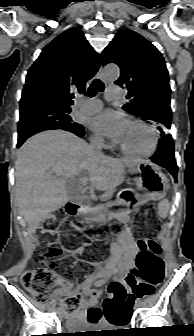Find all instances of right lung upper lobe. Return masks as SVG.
I'll list each match as a JSON object with an SVG mask.
<instances>
[{"instance_id": "obj_1", "label": "right lung upper lobe", "mask_w": 194, "mask_h": 336, "mask_svg": "<svg viewBox=\"0 0 194 336\" xmlns=\"http://www.w3.org/2000/svg\"><path fill=\"white\" fill-rule=\"evenodd\" d=\"M100 63V55L81 30L71 28L61 33L28 70L20 100V120L41 111H71L73 91L85 90Z\"/></svg>"}]
</instances>
